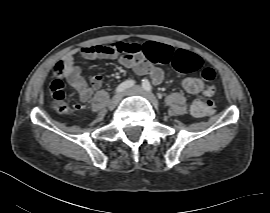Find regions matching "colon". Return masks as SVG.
I'll return each mask as SVG.
<instances>
[{"label": "colon", "mask_w": 270, "mask_h": 213, "mask_svg": "<svg viewBox=\"0 0 270 213\" xmlns=\"http://www.w3.org/2000/svg\"><path fill=\"white\" fill-rule=\"evenodd\" d=\"M110 52L114 54L139 56L143 53L141 45L136 43L115 42L108 45ZM172 63L175 70L180 74L192 73L201 69V75L206 82V87L201 94L195 97L191 104V113L197 117L208 116L214 111L212 96L215 92V73L212 68L201 65V57L183 50L177 51L166 63ZM51 102L55 110L61 114L70 112V106L65 101V92L61 81H54L51 85Z\"/></svg>", "instance_id": "5ec220e1"}]
</instances>
